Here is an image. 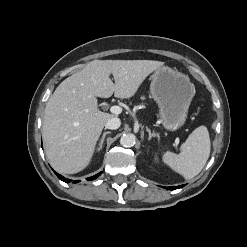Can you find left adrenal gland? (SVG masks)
<instances>
[{
  "label": "left adrenal gland",
  "mask_w": 247,
  "mask_h": 247,
  "mask_svg": "<svg viewBox=\"0 0 247 247\" xmlns=\"http://www.w3.org/2000/svg\"><path fill=\"white\" fill-rule=\"evenodd\" d=\"M146 131H147L148 134H149L148 141H150V140L152 139V137H157V139H158V141H159L160 136H159L158 133L151 132V130H150L148 127H146Z\"/></svg>",
  "instance_id": "obj_1"
}]
</instances>
